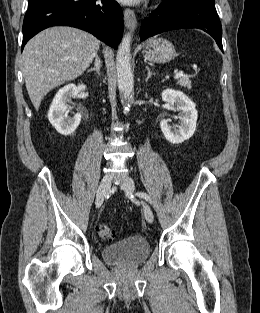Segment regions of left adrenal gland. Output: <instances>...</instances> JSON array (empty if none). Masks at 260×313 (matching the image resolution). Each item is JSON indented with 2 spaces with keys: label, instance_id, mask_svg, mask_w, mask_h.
<instances>
[{
  "label": "left adrenal gland",
  "instance_id": "obj_1",
  "mask_svg": "<svg viewBox=\"0 0 260 313\" xmlns=\"http://www.w3.org/2000/svg\"><path fill=\"white\" fill-rule=\"evenodd\" d=\"M146 68H147V77L145 81L147 82L150 79V77L155 74L150 71V68L148 66Z\"/></svg>",
  "mask_w": 260,
  "mask_h": 313
}]
</instances>
